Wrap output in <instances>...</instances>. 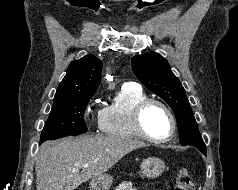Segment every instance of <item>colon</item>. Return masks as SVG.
Listing matches in <instances>:
<instances>
[{"label": "colon", "mask_w": 238, "mask_h": 190, "mask_svg": "<svg viewBox=\"0 0 238 190\" xmlns=\"http://www.w3.org/2000/svg\"><path fill=\"white\" fill-rule=\"evenodd\" d=\"M173 190H195L193 180L186 169L179 172Z\"/></svg>", "instance_id": "colon-1"}]
</instances>
